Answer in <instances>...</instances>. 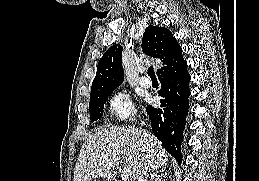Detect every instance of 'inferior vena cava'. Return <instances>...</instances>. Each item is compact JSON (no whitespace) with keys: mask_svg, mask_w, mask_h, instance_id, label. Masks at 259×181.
<instances>
[{"mask_svg":"<svg viewBox=\"0 0 259 181\" xmlns=\"http://www.w3.org/2000/svg\"><path fill=\"white\" fill-rule=\"evenodd\" d=\"M149 171H150L149 165L143 166L140 170V174L137 178V181H147Z\"/></svg>","mask_w":259,"mask_h":181,"instance_id":"inferior-vena-cava-1","label":"inferior vena cava"}]
</instances>
